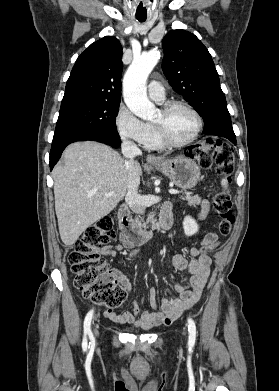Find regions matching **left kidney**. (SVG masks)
<instances>
[{
    "label": "left kidney",
    "instance_id": "obj_1",
    "mask_svg": "<svg viewBox=\"0 0 279 391\" xmlns=\"http://www.w3.org/2000/svg\"><path fill=\"white\" fill-rule=\"evenodd\" d=\"M183 229L186 236H192L198 232L199 226L191 216H186L183 221Z\"/></svg>",
    "mask_w": 279,
    "mask_h": 391
}]
</instances>
